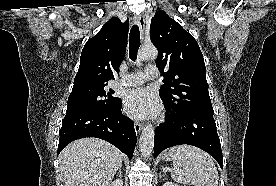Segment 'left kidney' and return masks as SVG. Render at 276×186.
Returning a JSON list of instances; mask_svg holds the SVG:
<instances>
[{
    "mask_svg": "<svg viewBox=\"0 0 276 186\" xmlns=\"http://www.w3.org/2000/svg\"><path fill=\"white\" fill-rule=\"evenodd\" d=\"M163 186H179V185L172 182H166Z\"/></svg>",
    "mask_w": 276,
    "mask_h": 186,
    "instance_id": "1",
    "label": "left kidney"
}]
</instances>
